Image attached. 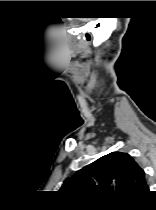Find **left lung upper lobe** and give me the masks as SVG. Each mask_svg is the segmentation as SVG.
<instances>
[{"label":"left lung upper lobe","mask_w":156,"mask_h":210,"mask_svg":"<svg viewBox=\"0 0 156 210\" xmlns=\"http://www.w3.org/2000/svg\"><path fill=\"white\" fill-rule=\"evenodd\" d=\"M60 191L65 193H119L138 196L148 193L143 169L127 153L112 152L67 178Z\"/></svg>","instance_id":"5c2ea615"}]
</instances>
